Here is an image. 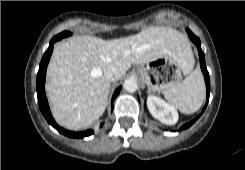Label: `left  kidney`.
<instances>
[{"label":"left kidney","instance_id":"left-kidney-1","mask_svg":"<svg viewBox=\"0 0 245 170\" xmlns=\"http://www.w3.org/2000/svg\"><path fill=\"white\" fill-rule=\"evenodd\" d=\"M147 107L151 115L164 124L174 125L178 121L177 110L157 96H148Z\"/></svg>","mask_w":245,"mask_h":170}]
</instances>
